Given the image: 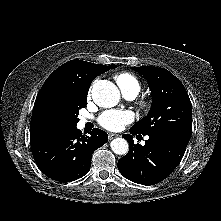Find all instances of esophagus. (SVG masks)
I'll return each mask as SVG.
<instances>
[{"label": "esophagus", "instance_id": "esophagus-1", "mask_svg": "<svg viewBox=\"0 0 221 221\" xmlns=\"http://www.w3.org/2000/svg\"><path fill=\"white\" fill-rule=\"evenodd\" d=\"M119 135L118 134H115V133H109L108 134V137H109V139L111 140V139H113V138H116V137H118Z\"/></svg>", "mask_w": 221, "mask_h": 221}]
</instances>
